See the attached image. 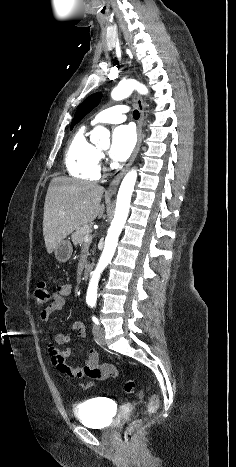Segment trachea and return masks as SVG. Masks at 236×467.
Returning a JSON list of instances; mask_svg holds the SVG:
<instances>
[{
	"label": "trachea",
	"mask_w": 236,
	"mask_h": 467,
	"mask_svg": "<svg viewBox=\"0 0 236 467\" xmlns=\"http://www.w3.org/2000/svg\"><path fill=\"white\" fill-rule=\"evenodd\" d=\"M133 117H134V119H136V120L139 119L140 114H139L138 110H134V112H133Z\"/></svg>",
	"instance_id": "obj_1"
}]
</instances>
